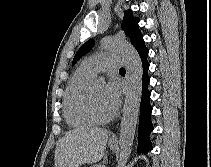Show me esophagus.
<instances>
[{"mask_svg":"<svg viewBox=\"0 0 211 167\" xmlns=\"http://www.w3.org/2000/svg\"><path fill=\"white\" fill-rule=\"evenodd\" d=\"M116 140H117L116 136H113L112 141H116Z\"/></svg>","mask_w":211,"mask_h":167,"instance_id":"1","label":"esophagus"}]
</instances>
